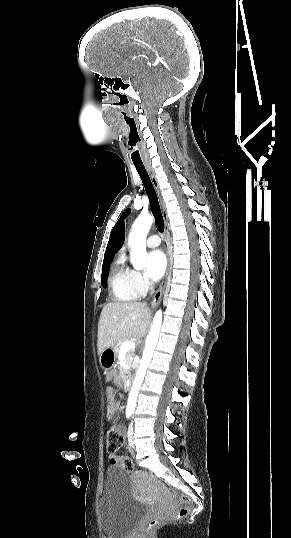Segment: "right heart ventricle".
<instances>
[{
  "mask_svg": "<svg viewBox=\"0 0 291 538\" xmlns=\"http://www.w3.org/2000/svg\"><path fill=\"white\" fill-rule=\"evenodd\" d=\"M109 286L112 296L117 302H130L137 299V292L132 278V270L119 257L112 265Z\"/></svg>",
  "mask_w": 291,
  "mask_h": 538,
  "instance_id": "obj_1",
  "label": "right heart ventricle"
}]
</instances>
